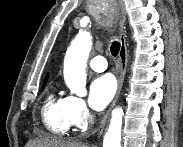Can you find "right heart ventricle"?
<instances>
[{
  "mask_svg": "<svg viewBox=\"0 0 183 147\" xmlns=\"http://www.w3.org/2000/svg\"><path fill=\"white\" fill-rule=\"evenodd\" d=\"M42 119L48 131L55 135H65L72 123L69 117V97L50 93L42 107Z\"/></svg>",
  "mask_w": 183,
  "mask_h": 147,
  "instance_id": "e07e8e85",
  "label": "right heart ventricle"
}]
</instances>
